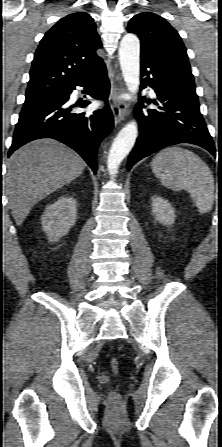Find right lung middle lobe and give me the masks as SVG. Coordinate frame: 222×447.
Here are the masks:
<instances>
[{
	"label": "right lung middle lobe",
	"mask_w": 222,
	"mask_h": 447,
	"mask_svg": "<svg viewBox=\"0 0 222 447\" xmlns=\"http://www.w3.org/2000/svg\"><path fill=\"white\" fill-rule=\"evenodd\" d=\"M60 94L57 95H48V96H39V97H26V100L24 102V106L22 108V111L24 110H30L35 107L44 105L46 103H49L53 100H55Z\"/></svg>",
	"instance_id": "right-lung-middle-lobe-1"
}]
</instances>
